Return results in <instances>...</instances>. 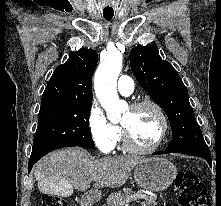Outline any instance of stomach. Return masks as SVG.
<instances>
[{
	"label": "stomach",
	"instance_id": "stomach-1",
	"mask_svg": "<svg viewBox=\"0 0 221 206\" xmlns=\"http://www.w3.org/2000/svg\"><path fill=\"white\" fill-rule=\"evenodd\" d=\"M177 175L176 167L167 159L150 157L136 165L134 180L138 186L149 191H163L173 182ZM86 197L91 201H98L101 193L97 190Z\"/></svg>",
	"mask_w": 221,
	"mask_h": 206
}]
</instances>
